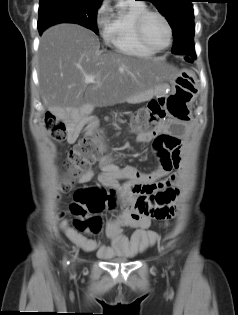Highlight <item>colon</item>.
<instances>
[{"instance_id": "1", "label": "colon", "mask_w": 238, "mask_h": 315, "mask_svg": "<svg viewBox=\"0 0 238 315\" xmlns=\"http://www.w3.org/2000/svg\"><path fill=\"white\" fill-rule=\"evenodd\" d=\"M164 99L151 101L146 108L140 110L134 115L131 121V130L135 133H146L155 131L165 118V109L163 107ZM45 127L50 133L52 139L57 142L64 141L67 133L66 124L52 114L45 117ZM104 140L101 131L96 130L84 135L79 139L74 148L68 153L66 166L68 177H76L97 159L103 150ZM76 203L72 210L80 215L85 211L89 213H98L106 206L112 207L114 201L111 195L98 189L79 190L75 194ZM85 206V210L82 208ZM75 226L79 230L90 229L97 231L99 222L96 218H91L88 222L81 220L75 221Z\"/></svg>"}]
</instances>
